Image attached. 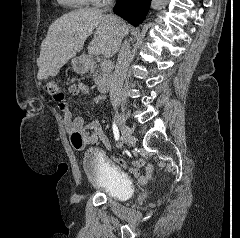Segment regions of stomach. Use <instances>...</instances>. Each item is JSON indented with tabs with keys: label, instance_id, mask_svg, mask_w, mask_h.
<instances>
[{
	"label": "stomach",
	"instance_id": "obj_1",
	"mask_svg": "<svg viewBox=\"0 0 240 238\" xmlns=\"http://www.w3.org/2000/svg\"><path fill=\"white\" fill-rule=\"evenodd\" d=\"M72 67L77 73H84L88 70V64L81 57L72 59Z\"/></svg>",
	"mask_w": 240,
	"mask_h": 238
}]
</instances>
